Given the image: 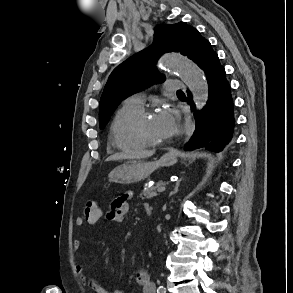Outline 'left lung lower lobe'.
Listing matches in <instances>:
<instances>
[{
	"instance_id": "1",
	"label": "left lung lower lobe",
	"mask_w": 293,
	"mask_h": 293,
	"mask_svg": "<svg viewBox=\"0 0 293 293\" xmlns=\"http://www.w3.org/2000/svg\"><path fill=\"white\" fill-rule=\"evenodd\" d=\"M197 65L205 72L208 82V100L201 111H195V131L186 150L205 147L207 150L219 152L232 138L234 128L233 100L231 88L226 80L224 68L219 63L218 55L212 50L210 42H206ZM182 100L194 110L193 97L190 92Z\"/></svg>"
}]
</instances>
